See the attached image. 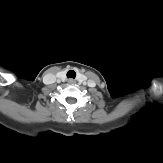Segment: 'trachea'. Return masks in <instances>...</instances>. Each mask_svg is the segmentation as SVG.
I'll list each match as a JSON object with an SVG mask.
<instances>
[{"instance_id":"3493384b","label":"trachea","mask_w":163,"mask_h":163,"mask_svg":"<svg viewBox=\"0 0 163 163\" xmlns=\"http://www.w3.org/2000/svg\"><path fill=\"white\" fill-rule=\"evenodd\" d=\"M75 77H76L75 71L69 70V71L67 72V78H75Z\"/></svg>"}]
</instances>
